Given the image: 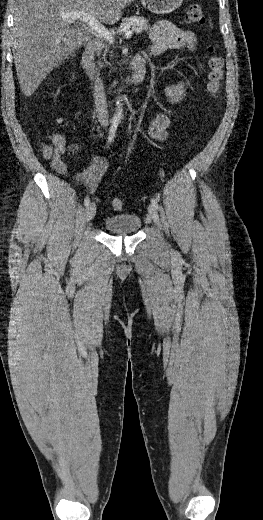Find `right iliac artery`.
Here are the masks:
<instances>
[{
    "mask_svg": "<svg viewBox=\"0 0 263 520\" xmlns=\"http://www.w3.org/2000/svg\"><path fill=\"white\" fill-rule=\"evenodd\" d=\"M117 127H118V122L117 121H113L112 122V125L110 127V130H109V136H108V143L110 144L114 137H115V133H116V130H117ZM90 202V199L89 197H85L84 199V205L87 206Z\"/></svg>",
    "mask_w": 263,
    "mask_h": 520,
    "instance_id": "right-iliac-artery-1",
    "label": "right iliac artery"
}]
</instances>
